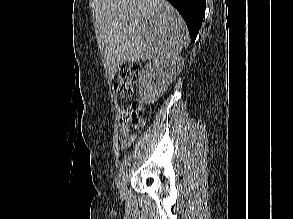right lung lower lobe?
Returning <instances> with one entry per match:
<instances>
[{
	"label": "right lung lower lobe",
	"mask_w": 293,
	"mask_h": 219,
	"mask_svg": "<svg viewBox=\"0 0 293 219\" xmlns=\"http://www.w3.org/2000/svg\"><path fill=\"white\" fill-rule=\"evenodd\" d=\"M185 20L194 42L205 14L206 0H168Z\"/></svg>",
	"instance_id": "obj_1"
}]
</instances>
